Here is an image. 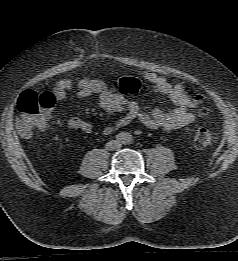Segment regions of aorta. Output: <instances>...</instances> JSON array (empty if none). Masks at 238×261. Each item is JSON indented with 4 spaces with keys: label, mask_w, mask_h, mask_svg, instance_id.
<instances>
[{
    "label": "aorta",
    "mask_w": 238,
    "mask_h": 261,
    "mask_svg": "<svg viewBox=\"0 0 238 261\" xmlns=\"http://www.w3.org/2000/svg\"><path fill=\"white\" fill-rule=\"evenodd\" d=\"M125 136H126L127 141H130L131 135L129 133H126Z\"/></svg>",
    "instance_id": "aorta-1"
}]
</instances>
